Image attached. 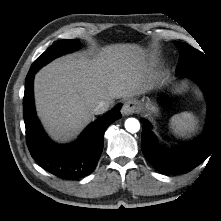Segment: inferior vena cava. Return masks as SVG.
Segmentation results:
<instances>
[{"label": "inferior vena cava", "mask_w": 221, "mask_h": 221, "mask_svg": "<svg viewBox=\"0 0 221 221\" xmlns=\"http://www.w3.org/2000/svg\"><path fill=\"white\" fill-rule=\"evenodd\" d=\"M110 107V103L106 101H100L94 108L93 112L95 115H100L105 113Z\"/></svg>", "instance_id": "602c4592"}]
</instances>
